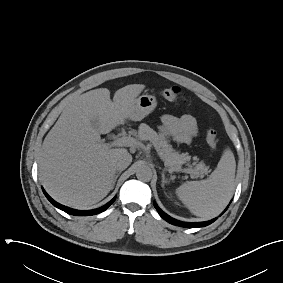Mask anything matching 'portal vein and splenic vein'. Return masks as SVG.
<instances>
[{"label":"portal vein and splenic vein","mask_w":283,"mask_h":283,"mask_svg":"<svg viewBox=\"0 0 283 283\" xmlns=\"http://www.w3.org/2000/svg\"><path fill=\"white\" fill-rule=\"evenodd\" d=\"M139 145V142L137 139L133 138V137H127V136H123L120 138L115 139L113 142H111L109 144V146H117V147H136ZM154 147L156 149V151L158 152V155L160 156V158L164 161L163 159V153L160 149V147H158L157 145L154 144ZM165 166L167 167L166 163ZM169 171H173L171 169H169ZM177 172H182V173H187V174H192V170L189 168H180L177 170Z\"/></svg>","instance_id":"obj_1"}]
</instances>
